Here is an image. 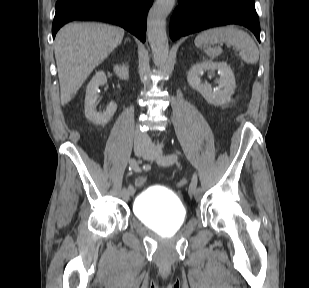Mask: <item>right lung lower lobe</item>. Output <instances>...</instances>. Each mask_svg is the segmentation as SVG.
<instances>
[{
	"label": "right lung lower lobe",
	"instance_id": "1",
	"mask_svg": "<svg viewBox=\"0 0 309 288\" xmlns=\"http://www.w3.org/2000/svg\"><path fill=\"white\" fill-rule=\"evenodd\" d=\"M153 0H58L52 35L73 20H99L117 24L145 42L146 17Z\"/></svg>",
	"mask_w": 309,
	"mask_h": 288
}]
</instances>
